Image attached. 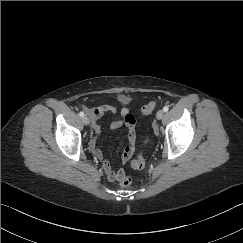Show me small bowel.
Listing matches in <instances>:
<instances>
[{
  "mask_svg": "<svg viewBox=\"0 0 243 243\" xmlns=\"http://www.w3.org/2000/svg\"><path fill=\"white\" fill-rule=\"evenodd\" d=\"M82 108L86 111L92 122V132L88 149L96 159L101 161V166L107 179L110 181H118L120 177H122L123 171L121 169L115 170L110 161L104 158L102 151L97 146L100 134L99 119L105 113H112L114 115L119 114L122 118V120L113 121L110 125L113 130H118L123 126L127 129L128 145L123 151L121 158L122 163H126L132 157L136 148V120L127 108H122L118 111L115 106L109 104H102L95 108H88L85 105H82Z\"/></svg>",
  "mask_w": 243,
  "mask_h": 243,
  "instance_id": "obj_1",
  "label": "small bowel"
}]
</instances>
